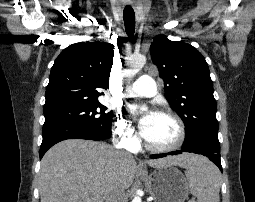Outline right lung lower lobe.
<instances>
[{
    "mask_svg": "<svg viewBox=\"0 0 255 202\" xmlns=\"http://www.w3.org/2000/svg\"><path fill=\"white\" fill-rule=\"evenodd\" d=\"M43 141L40 147V158L45 152L54 144L66 139H87V140H101L108 139L92 130L78 125V124H53L43 126L42 130Z\"/></svg>",
    "mask_w": 255,
    "mask_h": 202,
    "instance_id": "98d812e1",
    "label": "right lung lower lobe"
}]
</instances>
